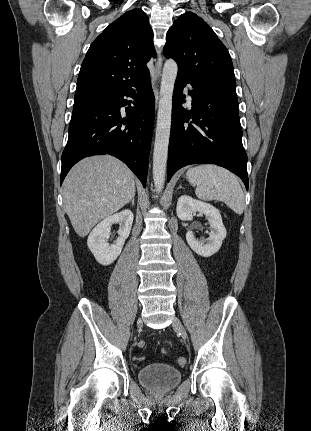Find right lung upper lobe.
Masks as SVG:
<instances>
[{"label":"right lung upper lobe","instance_id":"right-lung-upper-lobe-1","mask_svg":"<svg viewBox=\"0 0 311 431\" xmlns=\"http://www.w3.org/2000/svg\"><path fill=\"white\" fill-rule=\"evenodd\" d=\"M155 56L147 15L133 9L110 24L91 44L79 72L75 99L117 91L148 74Z\"/></svg>","mask_w":311,"mask_h":431}]
</instances>
